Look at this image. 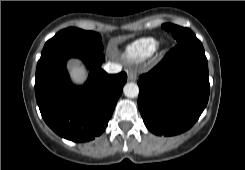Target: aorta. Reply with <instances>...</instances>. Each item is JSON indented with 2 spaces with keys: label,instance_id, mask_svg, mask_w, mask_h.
<instances>
[{
  "label": "aorta",
  "instance_id": "1",
  "mask_svg": "<svg viewBox=\"0 0 245 170\" xmlns=\"http://www.w3.org/2000/svg\"><path fill=\"white\" fill-rule=\"evenodd\" d=\"M123 92L129 98L137 97L139 94V87L136 83L130 82L125 84Z\"/></svg>",
  "mask_w": 245,
  "mask_h": 170
}]
</instances>
